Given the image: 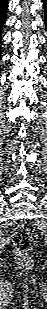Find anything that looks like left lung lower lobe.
<instances>
[{
  "label": "left lung lower lobe",
  "instance_id": "0a47b994",
  "mask_svg": "<svg viewBox=\"0 0 47 309\" xmlns=\"http://www.w3.org/2000/svg\"><path fill=\"white\" fill-rule=\"evenodd\" d=\"M44 13H45V21H46V27H47V0H44Z\"/></svg>",
  "mask_w": 47,
  "mask_h": 309
}]
</instances>
